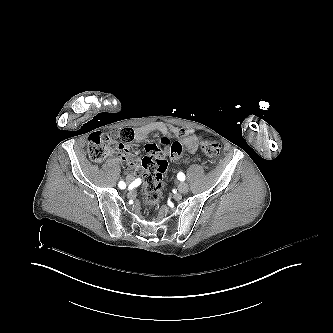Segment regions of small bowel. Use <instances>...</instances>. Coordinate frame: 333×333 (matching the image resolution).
<instances>
[{"instance_id":"1","label":"small bowel","mask_w":333,"mask_h":333,"mask_svg":"<svg viewBox=\"0 0 333 333\" xmlns=\"http://www.w3.org/2000/svg\"><path fill=\"white\" fill-rule=\"evenodd\" d=\"M149 133H159L166 137H180L183 141L185 148L189 152H194L197 149L196 141L202 140L201 134H195L193 130L180 128L174 125L166 124L163 122H153L146 126L140 127L136 130V137L138 140H141L144 136ZM211 138L210 132H205L203 134L204 140H209ZM118 149L121 150L120 154L117 156L113 153L111 156L124 164L125 168L132 169V172L129 173L126 177V180L131 185H136L138 178L141 174V168L138 160H136L130 148L126 147L124 143L118 144ZM181 156L172 158L177 161Z\"/></svg>"}]
</instances>
